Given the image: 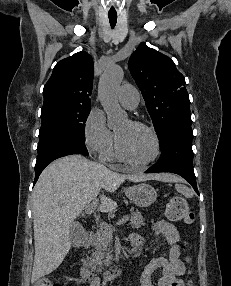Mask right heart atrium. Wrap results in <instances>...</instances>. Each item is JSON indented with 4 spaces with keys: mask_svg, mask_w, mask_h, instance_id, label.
<instances>
[{
    "mask_svg": "<svg viewBox=\"0 0 231 286\" xmlns=\"http://www.w3.org/2000/svg\"><path fill=\"white\" fill-rule=\"evenodd\" d=\"M84 144L88 151L102 155L110 149L114 142V134L107 127L102 112L92 109L84 123Z\"/></svg>",
    "mask_w": 231,
    "mask_h": 286,
    "instance_id": "d8ad5b80",
    "label": "right heart atrium"
}]
</instances>
